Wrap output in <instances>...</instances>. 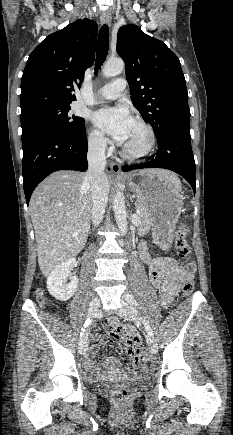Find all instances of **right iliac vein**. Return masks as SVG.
Instances as JSON below:
<instances>
[{"instance_id": "obj_1", "label": "right iliac vein", "mask_w": 233, "mask_h": 435, "mask_svg": "<svg viewBox=\"0 0 233 435\" xmlns=\"http://www.w3.org/2000/svg\"><path fill=\"white\" fill-rule=\"evenodd\" d=\"M100 307V299L98 297H94L89 306L88 317L93 319L99 310ZM79 352L82 355H85L88 349V333L87 331L82 335L79 341Z\"/></svg>"}]
</instances>
